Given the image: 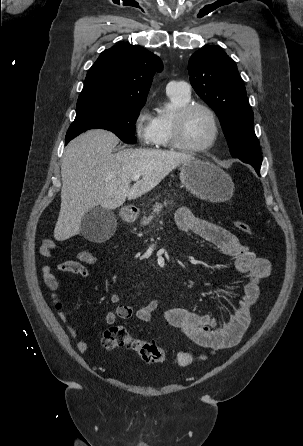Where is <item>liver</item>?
Here are the masks:
<instances>
[{
	"label": "liver",
	"mask_w": 303,
	"mask_h": 446,
	"mask_svg": "<svg viewBox=\"0 0 303 446\" xmlns=\"http://www.w3.org/2000/svg\"><path fill=\"white\" fill-rule=\"evenodd\" d=\"M119 139L105 130H90L66 147L61 165V208L54 229L57 241L80 231L90 209L113 210L155 188L191 155L156 149H124L113 154ZM140 175L130 187L131 177Z\"/></svg>",
	"instance_id": "1"
}]
</instances>
